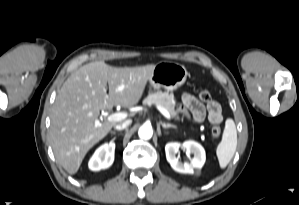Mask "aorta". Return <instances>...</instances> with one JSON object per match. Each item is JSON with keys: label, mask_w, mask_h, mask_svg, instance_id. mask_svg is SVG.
Listing matches in <instances>:
<instances>
[{"label": "aorta", "mask_w": 299, "mask_h": 205, "mask_svg": "<svg viewBox=\"0 0 299 205\" xmlns=\"http://www.w3.org/2000/svg\"><path fill=\"white\" fill-rule=\"evenodd\" d=\"M138 135L141 139L148 140L153 135V129L151 125L144 124L139 128Z\"/></svg>", "instance_id": "1"}]
</instances>
